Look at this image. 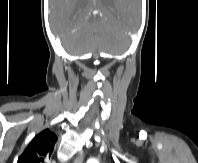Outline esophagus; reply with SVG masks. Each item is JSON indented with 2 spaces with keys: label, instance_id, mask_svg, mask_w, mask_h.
Returning a JSON list of instances; mask_svg holds the SVG:
<instances>
[{
  "label": "esophagus",
  "instance_id": "obj_1",
  "mask_svg": "<svg viewBox=\"0 0 198 163\" xmlns=\"http://www.w3.org/2000/svg\"><path fill=\"white\" fill-rule=\"evenodd\" d=\"M83 158H84V155H78L75 159H74V161H73V163H83Z\"/></svg>",
  "mask_w": 198,
  "mask_h": 163
}]
</instances>
